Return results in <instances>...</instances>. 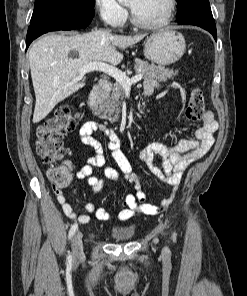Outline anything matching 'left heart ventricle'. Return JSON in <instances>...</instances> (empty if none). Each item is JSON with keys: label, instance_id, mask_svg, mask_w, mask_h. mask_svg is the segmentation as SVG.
Here are the masks:
<instances>
[{"label": "left heart ventricle", "instance_id": "b2bd125f", "mask_svg": "<svg viewBox=\"0 0 247 296\" xmlns=\"http://www.w3.org/2000/svg\"><path fill=\"white\" fill-rule=\"evenodd\" d=\"M136 18L144 23H157L167 12L166 0H128Z\"/></svg>", "mask_w": 247, "mask_h": 296}]
</instances>
